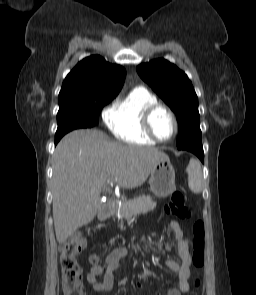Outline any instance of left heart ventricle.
I'll return each instance as SVG.
<instances>
[{"instance_id": "b2bd125f", "label": "left heart ventricle", "mask_w": 256, "mask_h": 295, "mask_svg": "<svg viewBox=\"0 0 256 295\" xmlns=\"http://www.w3.org/2000/svg\"><path fill=\"white\" fill-rule=\"evenodd\" d=\"M152 126L156 135L161 139H169L173 134V121L164 110L155 112L152 118Z\"/></svg>"}]
</instances>
